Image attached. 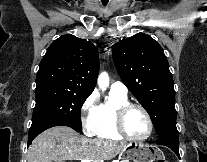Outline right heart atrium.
<instances>
[{"label": "right heart atrium", "mask_w": 207, "mask_h": 162, "mask_svg": "<svg viewBox=\"0 0 207 162\" xmlns=\"http://www.w3.org/2000/svg\"><path fill=\"white\" fill-rule=\"evenodd\" d=\"M97 103V93L93 91L85 98L80 108L82 129L87 136L93 135L95 131Z\"/></svg>", "instance_id": "1"}]
</instances>
